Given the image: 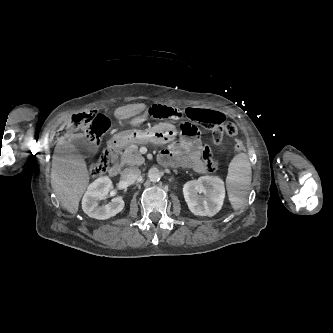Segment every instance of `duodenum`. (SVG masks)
Here are the masks:
<instances>
[{
  "label": "duodenum",
  "instance_id": "410a0bca",
  "mask_svg": "<svg viewBox=\"0 0 333 333\" xmlns=\"http://www.w3.org/2000/svg\"><path fill=\"white\" fill-rule=\"evenodd\" d=\"M108 150L111 157V165L108 172L110 176H116L121 170V165L119 162L120 145L116 142H112L109 144Z\"/></svg>",
  "mask_w": 333,
  "mask_h": 333
}]
</instances>
